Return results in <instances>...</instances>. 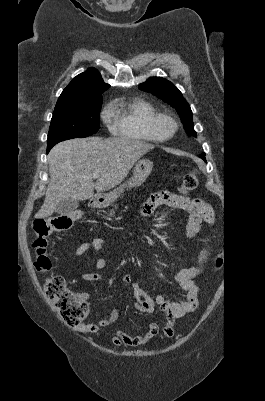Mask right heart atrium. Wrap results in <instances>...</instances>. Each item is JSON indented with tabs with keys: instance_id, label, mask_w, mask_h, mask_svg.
Wrapping results in <instances>:
<instances>
[{
	"instance_id": "obj_1",
	"label": "right heart atrium",
	"mask_w": 265,
	"mask_h": 401,
	"mask_svg": "<svg viewBox=\"0 0 265 401\" xmlns=\"http://www.w3.org/2000/svg\"><path fill=\"white\" fill-rule=\"evenodd\" d=\"M102 116H103V118H104L105 121H110V120H111V117H112V115L108 112L107 109H105V110L102 112Z\"/></svg>"
}]
</instances>
